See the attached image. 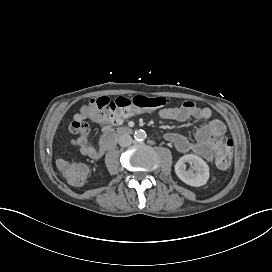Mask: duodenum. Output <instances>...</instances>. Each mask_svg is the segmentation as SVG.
<instances>
[{"instance_id":"410a0bca","label":"duodenum","mask_w":272,"mask_h":272,"mask_svg":"<svg viewBox=\"0 0 272 272\" xmlns=\"http://www.w3.org/2000/svg\"><path fill=\"white\" fill-rule=\"evenodd\" d=\"M131 132L132 130L127 127L108 129L104 131L100 139L101 153H104L105 151L112 149L115 146L116 141L120 136L129 134Z\"/></svg>"}]
</instances>
